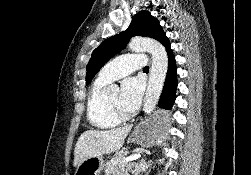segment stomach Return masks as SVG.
I'll return each instance as SVG.
<instances>
[{
	"instance_id": "0dacf381",
	"label": "stomach",
	"mask_w": 251,
	"mask_h": 175,
	"mask_svg": "<svg viewBox=\"0 0 251 175\" xmlns=\"http://www.w3.org/2000/svg\"><path fill=\"white\" fill-rule=\"evenodd\" d=\"M168 125V117H165L164 113H157L146 121H140L133 133H130L129 139L139 145H152L156 139L165 137ZM105 165L106 161L103 159V155H92L78 165L75 175H100Z\"/></svg>"
}]
</instances>
